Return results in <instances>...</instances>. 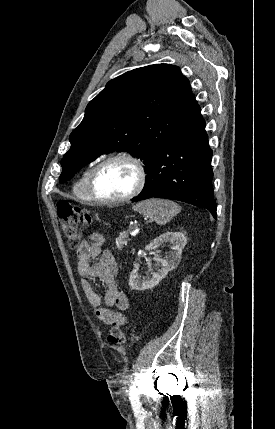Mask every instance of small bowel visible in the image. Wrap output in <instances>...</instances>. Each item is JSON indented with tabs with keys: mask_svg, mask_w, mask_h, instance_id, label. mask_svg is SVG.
Returning a JSON list of instances; mask_svg holds the SVG:
<instances>
[{
	"mask_svg": "<svg viewBox=\"0 0 275 429\" xmlns=\"http://www.w3.org/2000/svg\"><path fill=\"white\" fill-rule=\"evenodd\" d=\"M103 243L104 236L95 232L77 249V269L84 278L82 289L99 320L109 325H124L127 322L124 312L129 309V300L116 282L118 266L114 255L110 250L102 251ZM97 257L98 262L92 263ZM93 278H99L106 285L107 290L103 297L95 292L90 282ZM111 307H116L117 311L111 310Z\"/></svg>",
	"mask_w": 275,
	"mask_h": 429,
	"instance_id": "c3829d8e",
	"label": "small bowel"
}]
</instances>
